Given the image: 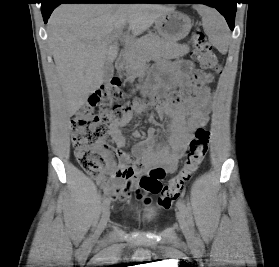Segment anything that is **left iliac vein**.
<instances>
[{"label":"left iliac vein","mask_w":279,"mask_h":267,"mask_svg":"<svg viewBox=\"0 0 279 267\" xmlns=\"http://www.w3.org/2000/svg\"><path fill=\"white\" fill-rule=\"evenodd\" d=\"M178 222L180 224V228L183 232V234L185 235L186 239L189 241V242H192L193 241V233L189 227V224L188 222L186 221L184 215L182 212H179L178 213Z\"/></svg>","instance_id":"obj_1"}]
</instances>
